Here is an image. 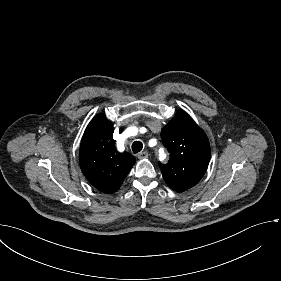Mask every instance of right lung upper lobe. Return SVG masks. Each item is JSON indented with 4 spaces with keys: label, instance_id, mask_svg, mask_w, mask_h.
Listing matches in <instances>:
<instances>
[{
    "label": "right lung upper lobe",
    "instance_id": "right-lung-upper-lobe-1",
    "mask_svg": "<svg viewBox=\"0 0 281 281\" xmlns=\"http://www.w3.org/2000/svg\"><path fill=\"white\" fill-rule=\"evenodd\" d=\"M114 142L112 124L98 114L86 128L79 151L83 174L96 189L107 194L120 188L135 164L134 156L119 153Z\"/></svg>",
    "mask_w": 281,
    "mask_h": 281
}]
</instances>
